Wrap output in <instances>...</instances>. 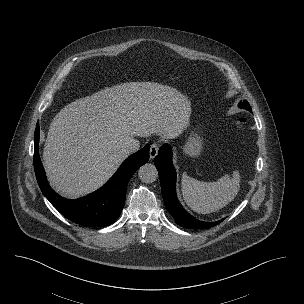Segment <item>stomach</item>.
<instances>
[{"label":"stomach","instance_id":"stomach-1","mask_svg":"<svg viewBox=\"0 0 304 304\" xmlns=\"http://www.w3.org/2000/svg\"><path fill=\"white\" fill-rule=\"evenodd\" d=\"M204 148L203 138L198 132L192 131L183 147V152L190 157H198Z\"/></svg>","mask_w":304,"mask_h":304}]
</instances>
